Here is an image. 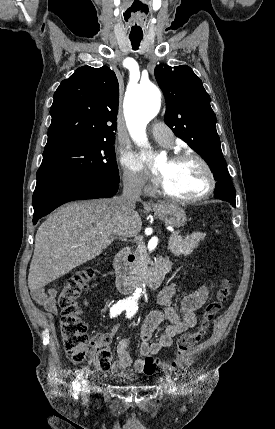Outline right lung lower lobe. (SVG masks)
<instances>
[{"mask_svg": "<svg viewBox=\"0 0 275 429\" xmlns=\"http://www.w3.org/2000/svg\"><path fill=\"white\" fill-rule=\"evenodd\" d=\"M118 183L95 176L65 178L49 183L33 194V223L58 206L73 200L109 198L118 191Z\"/></svg>", "mask_w": 275, "mask_h": 429, "instance_id": "98d812e1", "label": "right lung lower lobe"}]
</instances>
